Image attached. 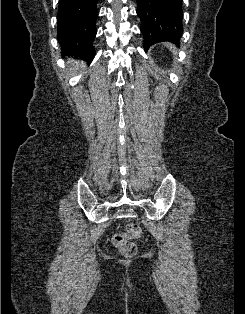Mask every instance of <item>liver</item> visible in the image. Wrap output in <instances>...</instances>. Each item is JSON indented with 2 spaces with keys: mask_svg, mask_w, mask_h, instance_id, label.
<instances>
[{
  "mask_svg": "<svg viewBox=\"0 0 245 314\" xmlns=\"http://www.w3.org/2000/svg\"><path fill=\"white\" fill-rule=\"evenodd\" d=\"M69 63H71L73 65V70L77 71L79 69V67L81 66V63L79 61L70 59Z\"/></svg>",
  "mask_w": 245,
  "mask_h": 314,
  "instance_id": "6515ba94",
  "label": "liver"
}]
</instances>
